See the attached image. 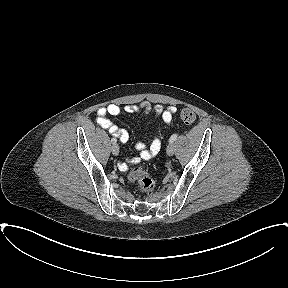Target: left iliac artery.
Wrapping results in <instances>:
<instances>
[{
  "mask_svg": "<svg viewBox=\"0 0 288 288\" xmlns=\"http://www.w3.org/2000/svg\"><path fill=\"white\" fill-rule=\"evenodd\" d=\"M177 136H178L177 134H173V135L170 137L169 142H174V141L176 140Z\"/></svg>",
  "mask_w": 288,
  "mask_h": 288,
  "instance_id": "44dca946",
  "label": "left iliac artery"
}]
</instances>
